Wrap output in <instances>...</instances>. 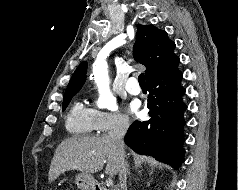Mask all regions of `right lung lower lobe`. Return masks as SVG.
Returning a JSON list of instances; mask_svg holds the SVG:
<instances>
[{"instance_id": "right-lung-lower-lobe-1", "label": "right lung lower lobe", "mask_w": 238, "mask_h": 190, "mask_svg": "<svg viewBox=\"0 0 238 190\" xmlns=\"http://www.w3.org/2000/svg\"><path fill=\"white\" fill-rule=\"evenodd\" d=\"M179 58L160 74L147 80L149 91L148 121L131 124L125 143L140 154L155 157L174 168L184 161L183 126L186 104L182 101L185 89L181 86L183 74L178 70Z\"/></svg>"}]
</instances>
